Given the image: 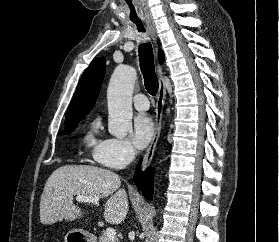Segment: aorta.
<instances>
[{
    "label": "aorta",
    "instance_id": "1",
    "mask_svg": "<svg viewBox=\"0 0 279 242\" xmlns=\"http://www.w3.org/2000/svg\"><path fill=\"white\" fill-rule=\"evenodd\" d=\"M136 70L128 65H118L114 70L108 90V131L118 139L132 130V93Z\"/></svg>",
    "mask_w": 279,
    "mask_h": 242
}]
</instances>
